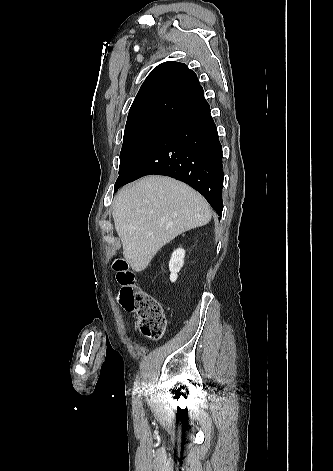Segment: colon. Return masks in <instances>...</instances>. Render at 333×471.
Masks as SVG:
<instances>
[{"mask_svg":"<svg viewBox=\"0 0 333 471\" xmlns=\"http://www.w3.org/2000/svg\"><path fill=\"white\" fill-rule=\"evenodd\" d=\"M120 285L119 299L122 306L137 314L141 332L152 339H160L166 329V319L160 302L136 285L135 275L124 260L113 264Z\"/></svg>","mask_w":333,"mask_h":471,"instance_id":"5ec220e1","label":"colon"}]
</instances>
